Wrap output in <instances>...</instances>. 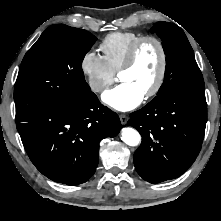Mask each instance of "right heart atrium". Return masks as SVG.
Segmentation results:
<instances>
[{
  "instance_id": "d8ad5b80",
  "label": "right heart atrium",
  "mask_w": 221,
  "mask_h": 221,
  "mask_svg": "<svg viewBox=\"0 0 221 221\" xmlns=\"http://www.w3.org/2000/svg\"><path fill=\"white\" fill-rule=\"evenodd\" d=\"M80 69L89 88L97 94L104 92L115 80V73L103 56L94 50H89L82 56Z\"/></svg>"
}]
</instances>
